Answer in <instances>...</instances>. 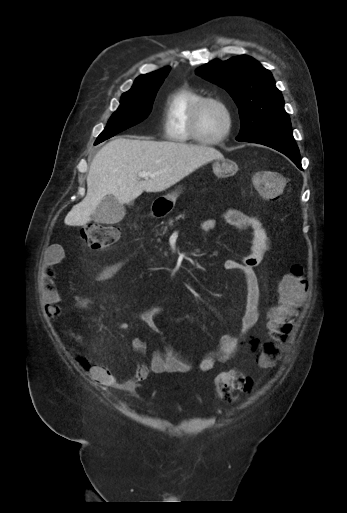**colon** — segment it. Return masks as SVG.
Here are the masks:
<instances>
[{"instance_id":"5ec220e1","label":"colon","mask_w":347,"mask_h":513,"mask_svg":"<svg viewBox=\"0 0 347 513\" xmlns=\"http://www.w3.org/2000/svg\"><path fill=\"white\" fill-rule=\"evenodd\" d=\"M253 184L258 193L267 200L280 198L285 178L278 171H256ZM120 229L114 226L91 223L81 230V237L90 249H104L120 239ZM308 279L302 265H293L278 285V300L272 306L267 322L269 340H261L257 346V367L261 373H274L280 359V346L288 337L297 310L305 298ZM216 392L219 398L230 399L234 391H250L253 380L238 371L222 372L216 377Z\"/></svg>"}]
</instances>
